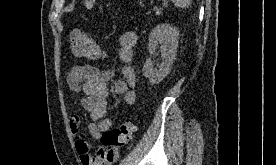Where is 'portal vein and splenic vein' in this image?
Masks as SVG:
<instances>
[{"label":"portal vein and splenic vein","instance_id":"18ae733b","mask_svg":"<svg viewBox=\"0 0 276 165\" xmlns=\"http://www.w3.org/2000/svg\"><path fill=\"white\" fill-rule=\"evenodd\" d=\"M160 11H161V9H157L156 13H157V14H160Z\"/></svg>","mask_w":276,"mask_h":165}]
</instances>
